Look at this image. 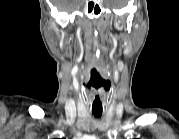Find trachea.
<instances>
[{
	"label": "trachea",
	"instance_id": "3493384b",
	"mask_svg": "<svg viewBox=\"0 0 179 139\" xmlns=\"http://www.w3.org/2000/svg\"><path fill=\"white\" fill-rule=\"evenodd\" d=\"M92 114L96 117V118H99V117H101V115H102V112H92Z\"/></svg>",
	"mask_w": 179,
	"mask_h": 139
}]
</instances>
